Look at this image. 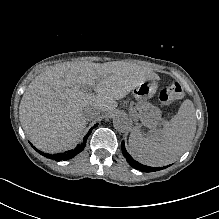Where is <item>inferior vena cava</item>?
<instances>
[{"label": "inferior vena cava", "mask_w": 219, "mask_h": 219, "mask_svg": "<svg viewBox=\"0 0 219 219\" xmlns=\"http://www.w3.org/2000/svg\"><path fill=\"white\" fill-rule=\"evenodd\" d=\"M86 121L89 123V124H96L98 121H99V112L96 110V109H89L87 112H86Z\"/></svg>", "instance_id": "602c4592"}]
</instances>
